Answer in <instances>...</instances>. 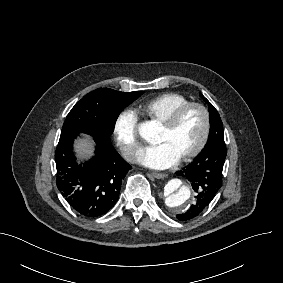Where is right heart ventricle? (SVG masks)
Segmentation results:
<instances>
[{"instance_id":"e07e8e85","label":"right heart ventricle","mask_w":283,"mask_h":283,"mask_svg":"<svg viewBox=\"0 0 283 283\" xmlns=\"http://www.w3.org/2000/svg\"><path fill=\"white\" fill-rule=\"evenodd\" d=\"M189 102L190 99L185 95L169 92L148 100L139 101L134 105L133 110L136 117L161 123L169 112Z\"/></svg>"}]
</instances>
